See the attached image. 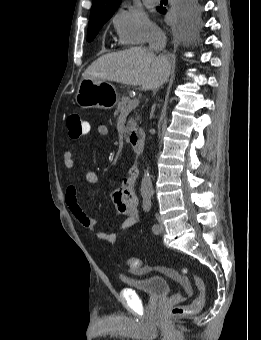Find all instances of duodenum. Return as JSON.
Segmentation results:
<instances>
[{
  "label": "duodenum",
  "instance_id": "410a0bca",
  "mask_svg": "<svg viewBox=\"0 0 261 340\" xmlns=\"http://www.w3.org/2000/svg\"><path fill=\"white\" fill-rule=\"evenodd\" d=\"M129 143L136 154H141L144 149L145 135L143 131L136 130L130 133Z\"/></svg>",
  "mask_w": 261,
  "mask_h": 340
}]
</instances>
